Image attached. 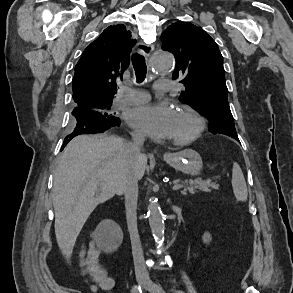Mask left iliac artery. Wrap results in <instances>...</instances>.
<instances>
[{
  "label": "left iliac artery",
  "mask_w": 293,
  "mask_h": 293,
  "mask_svg": "<svg viewBox=\"0 0 293 293\" xmlns=\"http://www.w3.org/2000/svg\"><path fill=\"white\" fill-rule=\"evenodd\" d=\"M178 293H183L182 291H179Z\"/></svg>",
  "instance_id": "1"
}]
</instances>
